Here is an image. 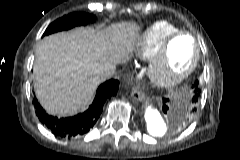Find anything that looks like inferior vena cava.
<instances>
[{
    "label": "inferior vena cava",
    "mask_w": 240,
    "mask_h": 160,
    "mask_svg": "<svg viewBox=\"0 0 240 160\" xmlns=\"http://www.w3.org/2000/svg\"><path fill=\"white\" fill-rule=\"evenodd\" d=\"M115 73H116L115 68H113V67H108V68H105V69L102 71L101 76H102L103 78H110V77L114 76Z\"/></svg>",
    "instance_id": "inferior-vena-cava-1"
}]
</instances>
